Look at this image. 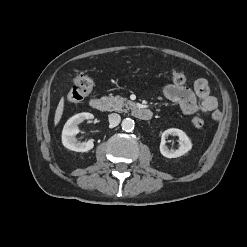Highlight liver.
<instances>
[{"label": "liver", "mask_w": 247, "mask_h": 247, "mask_svg": "<svg viewBox=\"0 0 247 247\" xmlns=\"http://www.w3.org/2000/svg\"><path fill=\"white\" fill-rule=\"evenodd\" d=\"M63 110H64V98H61V100L57 106L56 112H55V117H54L55 126L59 123V121L62 117V114H63Z\"/></svg>", "instance_id": "1"}]
</instances>
